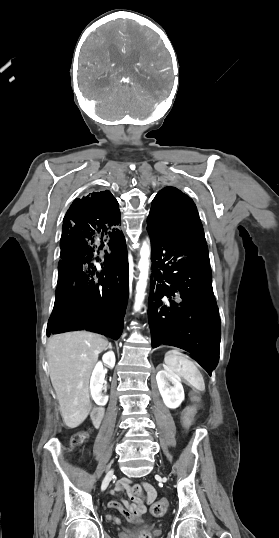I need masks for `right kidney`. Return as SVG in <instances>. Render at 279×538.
I'll use <instances>...</instances> for the list:
<instances>
[{
    "mask_svg": "<svg viewBox=\"0 0 279 538\" xmlns=\"http://www.w3.org/2000/svg\"><path fill=\"white\" fill-rule=\"evenodd\" d=\"M102 362L106 368H114V352H107V354H104ZM102 362H98V364H96L90 380L91 396L97 406H105V404L108 402V396H104V394H102L103 390H105V388H103L105 372Z\"/></svg>",
    "mask_w": 279,
    "mask_h": 538,
    "instance_id": "ca27d5eb",
    "label": "right kidney"
}]
</instances>
